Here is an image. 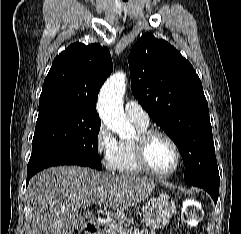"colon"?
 I'll use <instances>...</instances> for the list:
<instances>
[{"mask_svg":"<svg viewBox=\"0 0 241 234\" xmlns=\"http://www.w3.org/2000/svg\"><path fill=\"white\" fill-rule=\"evenodd\" d=\"M182 216L188 225H197L202 218V209L199 203L195 200L187 201L183 207Z\"/></svg>","mask_w":241,"mask_h":234,"instance_id":"5ec220e1","label":"colon"}]
</instances>
